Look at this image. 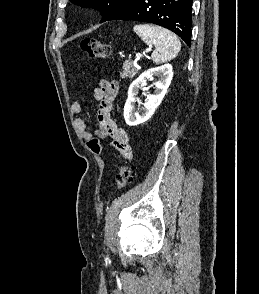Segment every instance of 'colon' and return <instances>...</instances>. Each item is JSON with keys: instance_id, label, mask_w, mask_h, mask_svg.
Here are the masks:
<instances>
[{"instance_id": "5ec220e1", "label": "colon", "mask_w": 259, "mask_h": 294, "mask_svg": "<svg viewBox=\"0 0 259 294\" xmlns=\"http://www.w3.org/2000/svg\"><path fill=\"white\" fill-rule=\"evenodd\" d=\"M81 49L91 58L103 59L110 55V46L97 38H85L81 41ZM133 171L128 165H123L116 175V184L119 190L124 189L133 181Z\"/></svg>"}]
</instances>
